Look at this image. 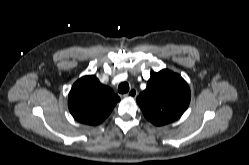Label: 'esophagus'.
Instances as JSON below:
<instances>
[{
  "instance_id": "obj_1",
  "label": "esophagus",
  "mask_w": 249,
  "mask_h": 165,
  "mask_svg": "<svg viewBox=\"0 0 249 165\" xmlns=\"http://www.w3.org/2000/svg\"><path fill=\"white\" fill-rule=\"evenodd\" d=\"M138 92L135 88H131L129 92L126 94V96L135 98L137 96Z\"/></svg>"
}]
</instances>
